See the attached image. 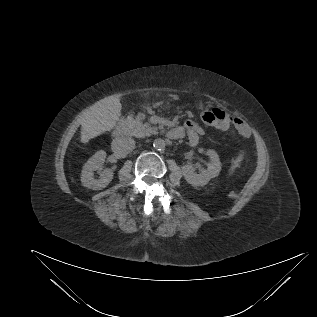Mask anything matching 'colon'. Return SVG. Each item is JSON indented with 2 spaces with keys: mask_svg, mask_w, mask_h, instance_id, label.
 <instances>
[{
  "mask_svg": "<svg viewBox=\"0 0 317 317\" xmlns=\"http://www.w3.org/2000/svg\"><path fill=\"white\" fill-rule=\"evenodd\" d=\"M201 120L208 125H221L224 113L220 109H203L200 113Z\"/></svg>",
  "mask_w": 317,
  "mask_h": 317,
  "instance_id": "obj_1",
  "label": "colon"
}]
</instances>
